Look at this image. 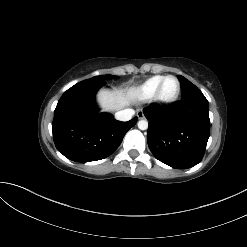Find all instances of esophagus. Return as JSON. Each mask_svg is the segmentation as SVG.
Instances as JSON below:
<instances>
[{
	"label": "esophagus",
	"mask_w": 247,
	"mask_h": 247,
	"mask_svg": "<svg viewBox=\"0 0 247 247\" xmlns=\"http://www.w3.org/2000/svg\"><path fill=\"white\" fill-rule=\"evenodd\" d=\"M137 117H138L139 119L145 118L143 111H138V112H137Z\"/></svg>",
	"instance_id": "esophagus-1"
}]
</instances>
